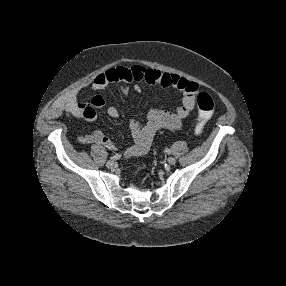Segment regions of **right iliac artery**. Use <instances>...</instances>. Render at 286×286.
Segmentation results:
<instances>
[{
  "mask_svg": "<svg viewBox=\"0 0 286 286\" xmlns=\"http://www.w3.org/2000/svg\"><path fill=\"white\" fill-rule=\"evenodd\" d=\"M120 156L121 155L116 154V155L110 157V160H112V161L117 160V159H119Z\"/></svg>",
  "mask_w": 286,
  "mask_h": 286,
  "instance_id": "obj_1",
  "label": "right iliac artery"
}]
</instances>
